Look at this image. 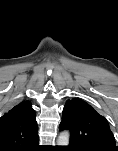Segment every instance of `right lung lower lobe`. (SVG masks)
Masks as SVG:
<instances>
[{
    "label": "right lung lower lobe",
    "instance_id": "right-lung-lower-lobe-1",
    "mask_svg": "<svg viewBox=\"0 0 118 151\" xmlns=\"http://www.w3.org/2000/svg\"><path fill=\"white\" fill-rule=\"evenodd\" d=\"M35 150H39L38 145H36V146L34 147V149H33V150H31V151H35Z\"/></svg>",
    "mask_w": 118,
    "mask_h": 151
}]
</instances>
